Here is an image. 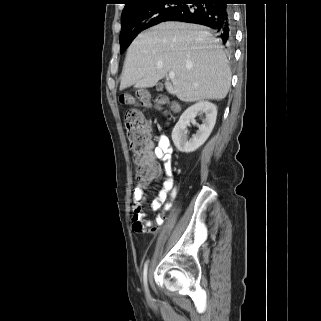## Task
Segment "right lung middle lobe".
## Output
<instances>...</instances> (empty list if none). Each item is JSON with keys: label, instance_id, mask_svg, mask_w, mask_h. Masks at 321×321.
Here are the masks:
<instances>
[{"label": "right lung middle lobe", "instance_id": "dd1d6c3e", "mask_svg": "<svg viewBox=\"0 0 321 321\" xmlns=\"http://www.w3.org/2000/svg\"><path fill=\"white\" fill-rule=\"evenodd\" d=\"M184 0H155L133 14L121 18L120 53L122 54L134 38L143 30L152 27L177 10Z\"/></svg>", "mask_w": 321, "mask_h": 321}]
</instances>
